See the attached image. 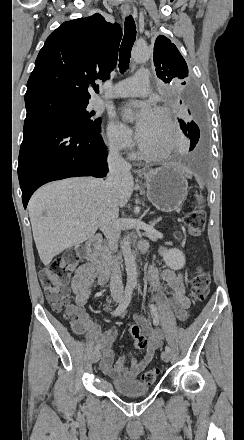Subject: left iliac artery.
<instances>
[{"mask_svg":"<svg viewBox=\"0 0 244 440\" xmlns=\"http://www.w3.org/2000/svg\"><path fill=\"white\" fill-rule=\"evenodd\" d=\"M150 310H151V313H152V315H153V323H154L155 325H158L159 322H160V319H159V314H158L157 307H156L154 304H151V305H150ZM165 351L170 352V351H171L170 347H169V346H166V347H165Z\"/></svg>","mask_w":244,"mask_h":440,"instance_id":"left-iliac-artery-1","label":"left iliac artery"}]
</instances>
